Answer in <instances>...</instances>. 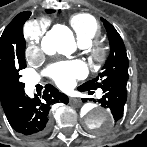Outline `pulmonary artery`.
<instances>
[{
	"mask_svg": "<svg viewBox=\"0 0 147 147\" xmlns=\"http://www.w3.org/2000/svg\"><path fill=\"white\" fill-rule=\"evenodd\" d=\"M38 81H39V78H38V77H36V76L30 77V78L28 79V85H29V86H33V85H35ZM100 95H101V91L99 92V96H100Z\"/></svg>",
	"mask_w": 147,
	"mask_h": 147,
	"instance_id": "1",
	"label": "pulmonary artery"
}]
</instances>
